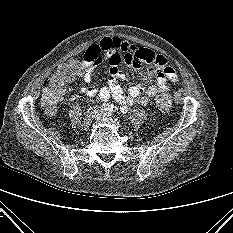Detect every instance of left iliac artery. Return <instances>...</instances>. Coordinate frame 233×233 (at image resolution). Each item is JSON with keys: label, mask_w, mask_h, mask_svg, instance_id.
<instances>
[{"label": "left iliac artery", "mask_w": 233, "mask_h": 233, "mask_svg": "<svg viewBox=\"0 0 233 233\" xmlns=\"http://www.w3.org/2000/svg\"><path fill=\"white\" fill-rule=\"evenodd\" d=\"M112 113H113V106H111L110 110H108V111L105 113V115H106V116H111Z\"/></svg>", "instance_id": "obj_1"}]
</instances>
